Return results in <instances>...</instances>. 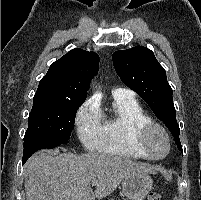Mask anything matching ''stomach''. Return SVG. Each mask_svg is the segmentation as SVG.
I'll return each instance as SVG.
<instances>
[{"label": "stomach", "mask_w": 201, "mask_h": 200, "mask_svg": "<svg viewBox=\"0 0 201 200\" xmlns=\"http://www.w3.org/2000/svg\"><path fill=\"white\" fill-rule=\"evenodd\" d=\"M152 187L153 181L146 173L129 175L122 182V191L130 200H143Z\"/></svg>", "instance_id": "0dacf381"}]
</instances>
